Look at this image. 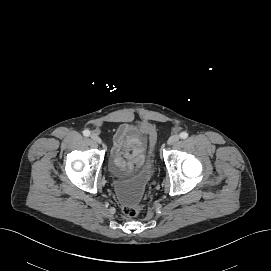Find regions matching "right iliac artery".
Returning a JSON list of instances; mask_svg holds the SVG:
<instances>
[{
	"instance_id": "right-iliac-artery-1",
	"label": "right iliac artery",
	"mask_w": 271,
	"mask_h": 271,
	"mask_svg": "<svg viewBox=\"0 0 271 271\" xmlns=\"http://www.w3.org/2000/svg\"><path fill=\"white\" fill-rule=\"evenodd\" d=\"M83 135L88 137L90 135V131L89 130H84Z\"/></svg>"
}]
</instances>
